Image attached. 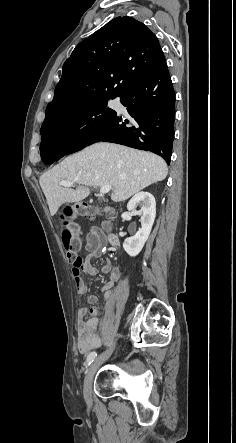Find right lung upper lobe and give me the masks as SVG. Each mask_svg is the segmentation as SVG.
<instances>
[{"label":"right lung upper lobe","mask_w":236,"mask_h":443,"mask_svg":"<svg viewBox=\"0 0 236 443\" xmlns=\"http://www.w3.org/2000/svg\"><path fill=\"white\" fill-rule=\"evenodd\" d=\"M157 37L132 17H117L79 43L63 65L45 119L99 96H120L163 57Z\"/></svg>","instance_id":"obj_1"}]
</instances>
